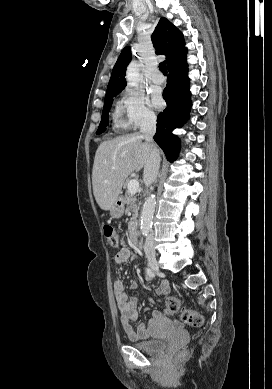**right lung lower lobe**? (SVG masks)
I'll return each instance as SVG.
<instances>
[{"label": "right lung lower lobe", "mask_w": 272, "mask_h": 389, "mask_svg": "<svg viewBox=\"0 0 272 389\" xmlns=\"http://www.w3.org/2000/svg\"><path fill=\"white\" fill-rule=\"evenodd\" d=\"M187 67L184 58L168 68L167 85L163 92L167 108L158 115L157 131L154 136V140L170 162L176 160L180 148L179 140L172 131L181 127L189 119L191 108Z\"/></svg>", "instance_id": "1"}]
</instances>
